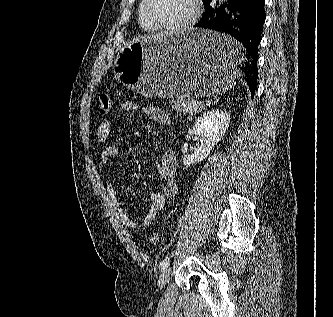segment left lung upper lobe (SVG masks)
<instances>
[{
	"label": "left lung upper lobe",
	"instance_id": "1",
	"mask_svg": "<svg viewBox=\"0 0 333 317\" xmlns=\"http://www.w3.org/2000/svg\"><path fill=\"white\" fill-rule=\"evenodd\" d=\"M202 1L204 3V8H206L211 0H202Z\"/></svg>",
	"mask_w": 333,
	"mask_h": 317
}]
</instances>
